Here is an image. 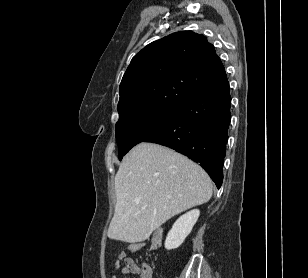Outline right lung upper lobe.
I'll return each instance as SVG.
<instances>
[{"label": "right lung upper lobe", "mask_w": 308, "mask_h": 278, "mask_svg": "<svg viewBox=\"0 0 308 278\" xmlns=\"http://www.w3.org/2000/svg\"><path fill=\"white\" fill-rule=\"evenodd\" d=\"M227 82L224 66L205 36L173 33L133 57L119 88V120L151 108H179Z\"/></svg>", "instance_id": "right-lung-upper-lobe-1"}]
</instances>
